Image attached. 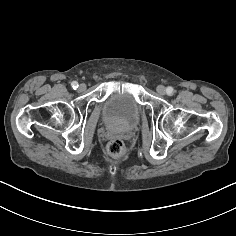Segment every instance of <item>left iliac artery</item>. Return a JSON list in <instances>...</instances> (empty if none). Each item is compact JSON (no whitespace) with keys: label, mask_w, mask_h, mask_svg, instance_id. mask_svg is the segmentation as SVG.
Here are the masks:
<instances>
[{"label":"left iliac artery","mask_w":236,"mask_h":236,"mask_svg":"<svg viewBox=\"0 0 236 236\" xmlns=\"http://www.w3.org/2000/svg\"><path fill=\"white\" fill-rule=\"evenodd\" d=\"M166 93H167V95L171 96L174 93V89L171 86H169L166 89Z\"/></svg>","instance_id":"1"}]
</instances>
